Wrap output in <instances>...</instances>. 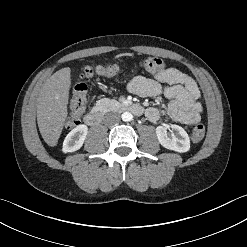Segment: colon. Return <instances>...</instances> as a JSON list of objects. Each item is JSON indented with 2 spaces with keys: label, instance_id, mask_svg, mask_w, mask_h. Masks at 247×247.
Returning <instances> with one entry per match:
<instances>
[{
  "label": "colon",
  "instance_id": "1",
  "mask_svg": "<svg viewBox=\"0 0 247 247\" xmlns=\"http://www.w3.org/2000/svg\"><path fill=\"white\" fill-rule=\"evenodd\" d=\"M138 66L152 74H157L165 70V63L162 59L157 57H149L141 60ZM120 68L117 65L108 66H86L81 74L79 80L76 81L73 91L72 100L70 104V115L67 120V127L71 128L79 124L80 116L85 110L87 102V86L84 79L90 78L93 75H101L112 77L119 73ZM205 135V127L202 124L195 126L191 132V139L193 142L198 143L202 141Z\"/></svg>",
  "mask_w": 247,
  "mask_h": 247
}]
</instances>
